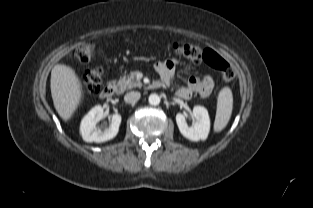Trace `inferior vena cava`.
Returning a JSON list of instances; mask_svg holds the SVG:
<instances>
[{
  "mask_svg": "<svg viewBox=\"0 0 313 208\" xmlns=\"http://www.w3.org/2000/svg\"><path fill=\"white\" fill-rule=\"evenodd\" d=\"M141 94L138 91H131L125 94L124 101L126 103L134 104L140 99Z\"/></svg>",
  "mask_w": 313,
  "mask_h": 208,
  "instance_id": "inferior-vena-cava-1",
  "label": "inferior vena cava"
}]
</instances>
